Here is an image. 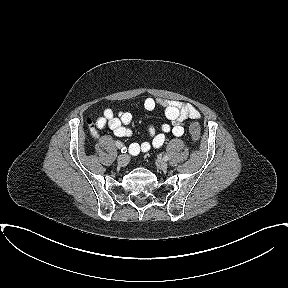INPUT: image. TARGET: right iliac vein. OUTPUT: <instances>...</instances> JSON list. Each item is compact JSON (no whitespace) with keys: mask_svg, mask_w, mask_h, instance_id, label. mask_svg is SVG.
Returning a JSON list of instances; mask_svg holds the SVG:
<instances>
[{"mask_svg":"<svg viewBox=\"0 0 288 288\" xmlns=\"http://www.w3.org/2000/svg\"><path fill=\"white\" fill-rule=\"evenodd\" d=\"M129 156L126 154H121L117 158V162L120 166L124 167L129 163Z\"/></svg>","mask_w":288,"mask_h":288,"instance_id":"right-iliac-vein-1","label":"right iliac vein"}]
</instances>
